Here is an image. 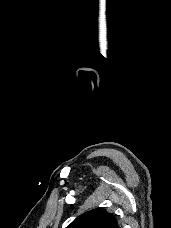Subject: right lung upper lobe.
Returning a JSON list of instances; mask_svg holds the SVG:
<instances>
[{
	"instance_id": "right-lung-upper-lobe-1",
	"label": "right lung upper lobe",
	"mask_w": 171,
	"mask_h": 228,
	"mask_svg": "<svg viewBox=\"0 0 171 228\" xmlns=\"http://www.w3.org/2000/svg\"><path fill=\"white\" fill-rule=\"evenodd\" d=\"M67 228H120V227L113 214L98 208L80 215Z\"/></svg>"
}]
</instances>
